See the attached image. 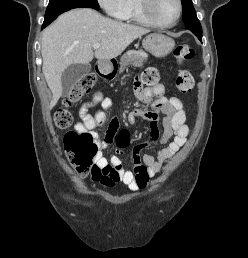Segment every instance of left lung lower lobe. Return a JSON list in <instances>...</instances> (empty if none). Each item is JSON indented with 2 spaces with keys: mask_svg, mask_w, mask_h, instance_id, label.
Instances as JSON below:
<instances>
[{
  "mask_svg": "<svg viewBox=\"0 0 248 258\" xmlns=\"http://www.w3.org/2000/svg\"><path fill=\"white\" fill-rule=\"evenodd\" d=\"M189 30L192 31L196 36H198L200 41H202V29L201 28H191Z\"/></svg>",
  "mask_w": 248,
  "mask_h": 258,
  "instance_id": "left-lung-lower-lobe-1",
  "label": "left lung lower lobe"
}]
</instances>
